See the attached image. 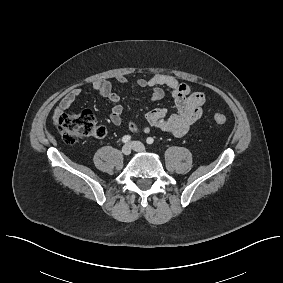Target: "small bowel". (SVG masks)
Instances as JSON below:
<instances>
[{
  "label": "small bowel",
  "mask_w": 283,
  "mask_h": 283,
  "mask_svg": "<svg viewBox=\"0 0 283 283\" xmlns=\"http://www.w3.org/2000/svg\"><path fill=\"white\" fill-rule=\"evenodd\" d=\"M117 81L123 86L127 84V79L123 76H119ZM137 84L140 88L150 89L149 99L152 102L161 100L165 92L169 91L177 111L168 115L167 110L163 107L153 108L146 113V123L141 127L134 121L129 122V129L133 133L139 131L149 133L152 129H158L176 137L183 136L202 115V107L206 101L205 95L202 92L195 91L190 85L180 82L171 75L156 74L148 79H139ZM92 87L110 102V122L113 125H120L123 106L120 103V96L114 91L111 82L97 81L93 83ZM81 94L82 90L79 88L73 89L66 94L55 108L54 116L56 118L60 117Z\"/></svg>",
  "instance_id": "small-bowel-1"
}]
</instances>
